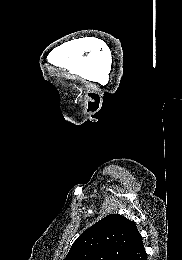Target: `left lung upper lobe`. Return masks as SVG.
Here are the masks:
<instances>
[{"instance_id": "1", "label": "left lung upper lobe", "mask_w": 182, "mask_h": 260, "mask_svg": "<svg viewBox=\"0 0 182 260\" xmlns=\"http://www.w3.org/2000/svg\"><path fill=\"white\" fill-rule=\"evenodd\" d=\"M138 236L135 222L110 214L85 230L64 260H122Z\"/></svg>"}]
</instances>
